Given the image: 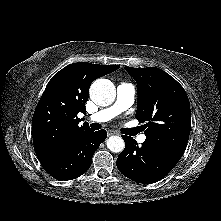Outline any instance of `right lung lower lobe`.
Masks as SVG:
<instances>
[{"instance_id": "obj_1", "label": "right lung lower lobe", "mask_w": 221, "mask_h": 221, "mask_svg": "<svg viewBox=\"0 0 221 221\" xmlns=\"http://www.w3.org/2000/svg\"><path fill=\"white\" fill-rule=\"evenodd\" d=\"M107 132L89 129L58 152L39 160L53 178L68 181L84 174L91 166L92 156L106 139Z\"/></svg>"}]
</instances>
